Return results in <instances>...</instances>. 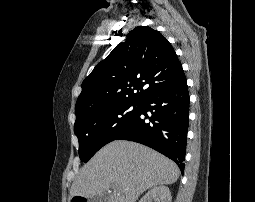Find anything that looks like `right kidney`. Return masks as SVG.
Returning a JSON list of instances; mask_svg holds the SVG:
<instances>
[{
  "label": "right kidney",
  "mask_w": 255,
  "mask_h": 202,
  "mask_svg": "<svg viewBox=\"0 0 255 202\" xmlns=\"http://www.w3.org/2000/svg\"><path fill=\"white\" fill-rule=\"evenodd\" d=\"M171 193L166 186H157L148 191L139 202H171Z\"/></svg>",
  "instance_id": "ca27d5eb"
}]
</instances>
